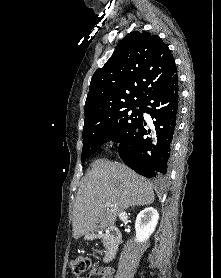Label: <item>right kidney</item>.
<instances>
[{"label":"right kidney","mask_w":221,"mask_h":278,"mask_svg":"<svg viewBox=\"0 0 221 278\" xmlns=\"http://www.w3.org/2000/svg\"><path fill=\"white\" fill-rule=\"evenodd\" d=\"M158 219V211L153 207L145 208L137 215L135 222L137 242H144L150 237L156 228Z\"/></svg>","instance_id":"1"}]
</instances>
